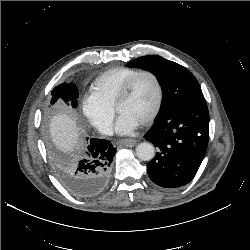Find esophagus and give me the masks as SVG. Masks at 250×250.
<instances>
[{
    "instance_id": "obj_1",
    "label": "esophagus",
    "mask_w": 250,
    "mask_h": 250,
    "mask_svg": "<svg viewBox=\"0 0 250 250\" xmlns=\"http://www.w3.org/2000/svg\"><path fill=\"white\" fill-rule=\"evenodd\" d=\"M119 143L124 145V146H127V147H133L137 143V140H135V139H123Z\"/></svg>"
}]
</instances>
